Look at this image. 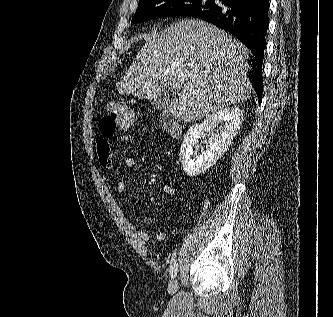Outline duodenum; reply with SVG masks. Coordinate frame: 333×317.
Returning <instances> with one entry per match:
<instances>
[{
    "instance_id": "410a0bca",
    "label": "duodenum",
    "mask_w": 333,
    "mask_h": 317,
    "mask_svg": "<svg viewBox=\"0 0 333 317\" xmlns=\"http://www.w3.org/2000/svg\"><path fill=\"white\" fill-rule=\"evenodd\" d=\"M161 122L166 132L174 138H177L181 134V125L174 115L170 112H164L161 116Z\"/></svg>"
}]
</instances>
